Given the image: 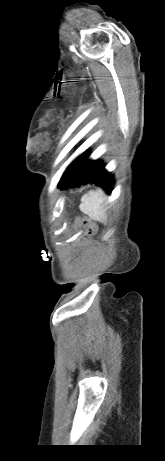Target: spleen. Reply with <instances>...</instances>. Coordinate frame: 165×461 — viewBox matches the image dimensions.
I'll use <instances>...</instances> for the list:
<instances>
[{
    "label": "spleen",
    "mask_w": 165,
    "mask_h": 461,
    "mask_svg": "<svg viewBox=\"0 0 165 461\" xmlns=\"http://www.w3.org/2000/svg\"><path fill=\"white\" fill-rule=\"evenodd\" d=\"M79 208L92 220L106 223V195L101 189L89 191L82 196Z\"/></svg>",
    "instance_id": "3e777b00"
}]
</instances>
